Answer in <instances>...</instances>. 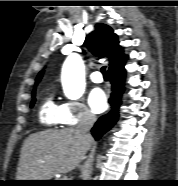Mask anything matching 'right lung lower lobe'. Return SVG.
Returning <instances> with one entry per match:
<instances>
[{
    "instance_id": "1",
    "label": "right lung lower lobe",
    "mask_w": 178,
    "mask_h": 186,
    "mask_svg": "<svg viewBox=\"0 0 178 186\" xmlns=\"http://www.w3.org/2000/svg\"><path fill=\"white\" fill-rule=\"evenodd\" d=\"M125 64L120 67L108 70V78L112 84V93L109 98L110 111L101 116L95 123L91 132L96 140H99L103 134L110 130L117 122L119 117V107L121 105V95L124 90V80L126 75Z\"/></svg>"
}]
</instances>
